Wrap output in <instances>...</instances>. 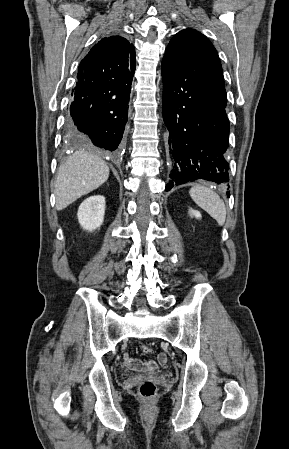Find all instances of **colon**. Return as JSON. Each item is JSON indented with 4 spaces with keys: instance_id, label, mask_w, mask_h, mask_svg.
Returning a JSON list of instances; mask_svg holds the SVG:
<instances>
[{
    "instance_id": "obj_1",
    "label": "colon",
    "mask_w": 289,
    "mask_h": 449,
    "mask_svg": "<svg viewBox=\"0 0 289 449\" xmlns=\"http://www.w3.org/2000/svg\"><path fill=\"white\" fill-rule=\"evenodd\" d=\"M142 350L145 354H150L153 352L152 348L144 345ZM156 392V386L152 381H144L139 387V393L143 398L149 399L154 396Z\"/></svg>"
}]
</instances>
